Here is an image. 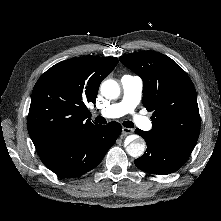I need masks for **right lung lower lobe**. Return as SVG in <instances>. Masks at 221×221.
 <instances>
[{
  "instance_id": "98d812e1",
  "label": "right lung lower lobe",
  "mask_w": 221,
  "mask_h": 221,
  "mask_svg": "<svg viewBox=\"0 0 221 221\" xmlns=\"http://www.w3.org/2000/svg\"><path fill=\"white\" fill-rule=\"evenodd\" d=\"M122 131L117 122L95 125L87 132L58 141L40 152L42 162L62 177L80 176L95 168Z\"/></svg>"
}]
</instances>
